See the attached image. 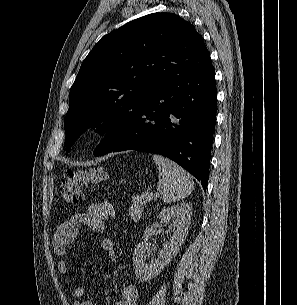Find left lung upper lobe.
Returning a JSON list of instances; mask_svg holds the SVG:
<instances>
[{"mask_svg":"<svg viewBox=\"0 0 297 305\" xmlns=\"http://www.w3.org/2000/svg\"><path fill=\"white\" fill-rule=\"evenodd\" d=\"M212 64L194 26L173 13L135 19L105 35L84 59L69 93L66 151L89 128L106 133L94 155L123 137L163 84Z\"/></svg>","mask_w":297,"mask_h":305,"instance_id":"obj_1","label":"left lung upper lobe"}]
</instances>
